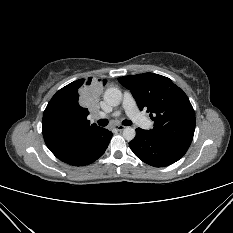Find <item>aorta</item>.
I'll return each instance as SVG.
<instances>
[{"label": "aorta", "instance_id": "aorta-1", "mask_svg": "<svg viewBox=\"0 0 233 233\" xmlns=\"http://www.w3.org/2000/svg\"><path fill=\"white\" fill-rule=\"evenodd\" d=\"M104 101L110 106H118L122 101V92L118 88H108L104 92ZM136 135L135 129L132 127H126L123 130V137L127 141H131L134 139Z\"/></svg>", "mask_w": 233, "mask_h": 233}]
</instances>
